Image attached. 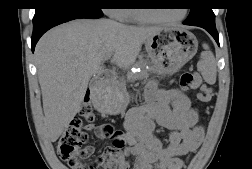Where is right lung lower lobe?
Wrapping results in <instances>:
<instances>
[{
	"mask_svg": "<svg viewBox=\"0 0 252 169\" xmlns=\"http://www.w3.org/2000/svg\"><path fill=\"white\" fill-rule=\"evenodd\" d=\"M72 2L73 0H52L53 6L51 8L40 13H35L33 18V35L31 38L32 51H34L39 38L54 26L74 19H97L103 16L100 12H95L81 6L66 5Z\"/></svg>",
	"mask_w": 252,
	"mask_h": 169,
	"instance_id": "1",
	"label": "right lung lower lobe"
}]
</instances>
